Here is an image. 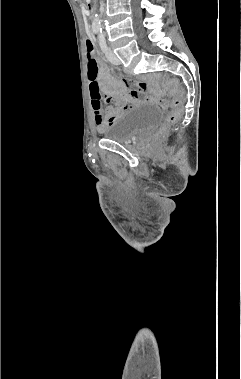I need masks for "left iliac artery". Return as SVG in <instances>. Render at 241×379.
Instances as JSON below:
<instances>
[{"label": "left iliac artery", "instance_id": "left-iliac-artery-1", "mask_svg": "<svg viewBox=\"0 0 241 379\" xmlns=\"http://www.w3.org/2000/svg\"><path fill=\"white\" fill-rule=\"evenodd\" d=\"M98 39H99V45L101 47V50L106 53L107 51V45H106V41H105V38H104V34L102 33V30H100V33L98 35Z\"/></svg>", "mask_w": 241, "mask_h": 379}]
</instances>
